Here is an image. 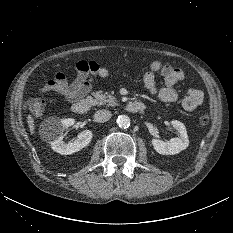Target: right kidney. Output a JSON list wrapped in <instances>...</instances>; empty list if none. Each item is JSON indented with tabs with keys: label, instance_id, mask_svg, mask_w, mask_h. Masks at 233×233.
<instances>
[{
	"label": "right kidney",
	"instance_id": "right-kidney-1",
	"mask_svg": "<svg viewBox=\"0 0 233 233\" xmlns=\"http://www.w3.org/2000/svg\"><path fill=\"white\" fill-rule=\"evenodd\" d=\"M74 124L75 119L73 118L59 119L57 117H50L42 123L43 137L45 141L51 144V148L54 151L62 155H70L78 152L90 143L92 132L90 130H84L78 134L77 140L65 143L63 141V132Z\"/></svg>",
	"mask_w": 233,
	"mask_h": 233
}]
</instances>
